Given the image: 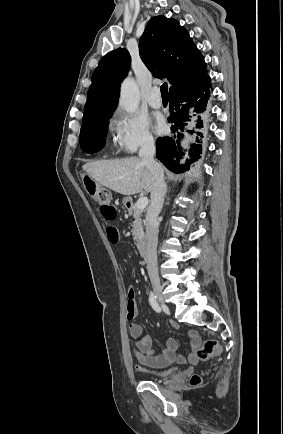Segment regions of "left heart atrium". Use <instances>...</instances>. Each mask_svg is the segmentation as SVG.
Listing matches in <instances>:
<instances>
[{
    "instance_id": "39dd6f15",
    "label": "left heart atrium",
    "mask_w": 283,
    "mask_h": 434,
    "mask_svg": "<svg viewBox=\"0 0 283 434\" xmlns=\"http://www.w3.org/2000/svg\"><path fill=\"white\" fill-rule=\"evenodd\" d=\"M164 122L162 119H158L156 124H155V129L157 132H162L164 130Z\"/></svg>"
}]
</instances>
